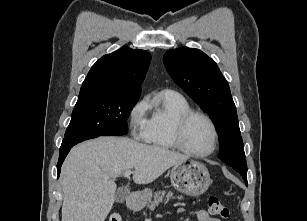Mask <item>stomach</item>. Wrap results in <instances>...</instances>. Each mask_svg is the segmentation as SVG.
<instances>
[{
	"label": "stomach",
	"instance_id": "obj_1",
	"mask_svg": "<svg viewBox=\"0 0 307 221\" xmlns=\"http://www.w3.org/2000/svg\"><path fill=\"white\" fill-rule=\"evenodd\" d=\"M171 183L179 192L189 196L203 194L211 184L208 169L204 164L189 160L175 165L171 169ZM152 192L145 189L139 195L135 206H143L150 199Z\"/></svg>",
	"mask_w": 307,
	"mask_h": 221
}]
</instances>
